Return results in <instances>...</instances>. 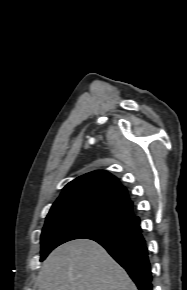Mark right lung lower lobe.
<instances>
[{
    "instance_id": "1",
    "label": "right lung lower lobe",
    "mask_w": 187,
    "mask_h": 290,
    "mask_svg": "<svg viewBox=\"0 0 187 290\" xmlns=\"http://www.w3.org/2000/svg\"><path fill=\"white\" fill-rule=\"evenodd\" d=\"M88 239L101 244L128 272L139 290H152V273L139 223Z\"/></svg>"
}]
</instances>
